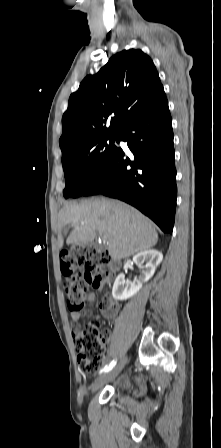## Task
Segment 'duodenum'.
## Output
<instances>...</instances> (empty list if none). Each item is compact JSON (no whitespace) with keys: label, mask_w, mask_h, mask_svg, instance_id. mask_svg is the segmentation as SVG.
<instances>
[{"label":"duodenum","mask_w":221,"mask_h":448,"mask_svg":"<svg viewBox=\"0 0 221 448\" xmlns=\"http://www.w3.org/2000/svg\"><path fill=\"white\" fill-rule=\"evenodd\" d=\"M120 266H121L120 261L117 260V259H113L112 262H111V266H110L111 267V271L113 273H115L116 271H118L120 269Z\"/></svg>","instance_id":"duodenum-1"}]
</instances>
